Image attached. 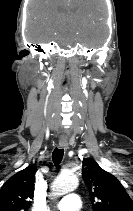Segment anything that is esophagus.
<instances>
[{"label": "esophagus", "mask_w": 133, "mask_h": 211, "mask_svg": "<svg viewBox=\"0 0 133 211\" xmlns=\"http://www.w3.org/2000/svg\"><path fill=\"white\" fill-rule=\"evenodd\" d=\"M59 147H60L61 149L67 150V149H68V142L65 141V140L59 141Z\"/></svg>", "instance_id": "34e87169"}]
</instances>
